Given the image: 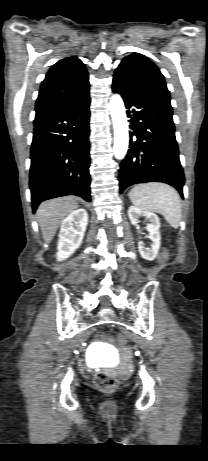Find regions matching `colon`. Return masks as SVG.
Wrapping results in <instances>:
<instances>
[{
	"mask_svg": "<svg viewBox=\"0 0 208 461\" xmlns=\"http://www.w3.org/2000/svg\"><path fill=\"white\" fill-rule=\"evenodd\" d=\"M114 342L117 345L125 346L127 343L126 338L123 335L117 334L113 338ZM94 384L96 388L101 391H111L118 386V379L113 373H110L105 370H100L96 373L94 377Z\"/></svg>",
	"mask_w": 208,
	"mask_h": 461,
	"instance_id": "1",
	"label": "colon"
}]
</instances>
